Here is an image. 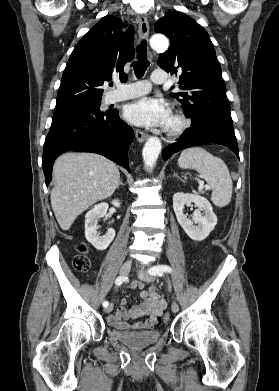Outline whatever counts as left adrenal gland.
Here are the masks:
<instances>
[{
	"label": "left adrenal gland",
	"instance_id": "1",
	"mask_svg": "<svg viewBox=\"0 0 279 391\" xmlns=\"http://www.w3.org/2000/svg\"><path fill=\"white\" fill-rule=\"evenodd\" d=\"M173 177H176V178H178L177 174H174V175H173Z\"/></svg>",
	"mask_w": 279,
	"mask_h": 391
}]
</instances>
